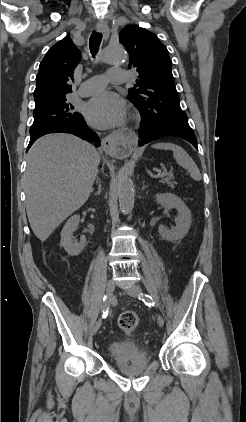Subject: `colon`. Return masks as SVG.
<instances>
[{
    "label": "colon",
    "mask_w": 246,
    "mask_h": 422,
    "mask_svg": "<svg viewBox=\"0 0 246 422\" xmlns=\"http://www.w3.org/2000/svg\"><path fill=\"white\" fill-rule=\"evenodd\" d=\"M138 317L132 311L123 312L118 319L119 327L126 333L133 332L138 326Z\"/></svg>",
    "instance_id": "obj_1"
}]
</instances>
